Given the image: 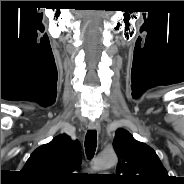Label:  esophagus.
I'll return each instance as SVG.
<instances>
[{"instance_id": "obj_1", "label": "esophagus", "mask_w": 184, "mask_h": 184, "mask_svg": "<svg viewBox=\"0 0 184 184\" xmlns=\"http://www.w3.org/2000/svg\"><path fill=\"white\" fill-rule=\"evenodd\" d=\"M88 128L90 130L100 131V124L96 121H92V122L89 123Z\"/></svg>"}]
</instances>
